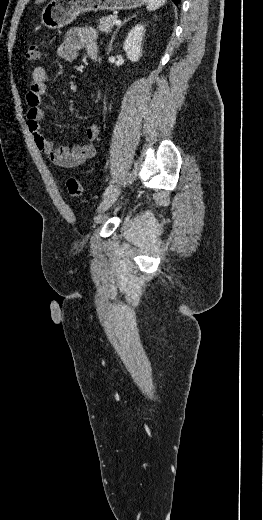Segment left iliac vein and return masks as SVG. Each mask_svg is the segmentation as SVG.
<instances>
[{"label":"left iliac vein","instance_id":"left-iliac-vein-1","mask_svg":"<svg viewBox=\"0 0 263 520\" xmlns=\"http://www.w3.org/2000/svg\"><path fill=\"white\" fill-rule=\"evenodd\" d=\"M120 195V190L118 188L113 189L104 199L101 201L98 206V212L104 213L106 212L118 199Z\"/></svg>","mask_w":263,"mask_h":520}]
</instances>
